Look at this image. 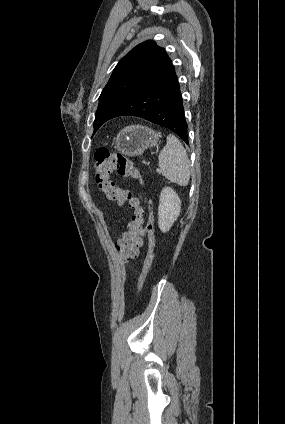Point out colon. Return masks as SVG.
<instances>
[{
    "label": "colon",
    "instance_id": "5ec220e1",
    "mask_svg": "<svg viewBox=\"0 0 285 424\" xmlns=\"http://www.w3.org/2000/svg\"><path fill=\"white\" fill-rule=\"evenodd\" d=\"M93 170L94 181L98 191L108 200L115 201L119 205L127 204L134 211L126 230L123 231L115 244L117 252L126 259L133 258L137 250L142 246L143 237H146L148 250L139 279V288L142 289L154 259L155 235L153 221L150 216L144 217V211L140 206L139 199L129 190L117 186L111 176L112 172L116 171L119 175L132 178L142 184V174L130 159L122 154L112 153L106 148H99L95 152Z\"/></svg>",
    "mask_w": 285,
    "mask_h": 424
}]
</instances>
